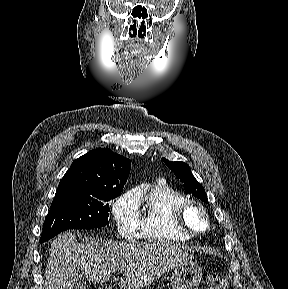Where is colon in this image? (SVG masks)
Wrapping results in <instances>:
<instances>
[{"instance_id": "obj_1", "label": "colon", "mask_w": 288, "mask_h": 289, "mask_svg": "<svg viewBox=\"0 0 288 289\" xmlns=\"http://www.w3.org/2000/svg\"><path fill=\"white\" fill-rule=\"evenodd\" d=\"M206 289H229V285L224 277L209 275L206 279Z\"/></svg>"}]
</instances>
